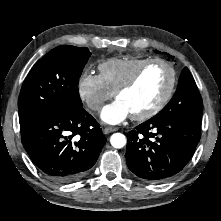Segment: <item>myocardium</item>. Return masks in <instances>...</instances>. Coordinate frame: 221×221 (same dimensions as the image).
I'll return each mask as SVG.
<instances>
[{"label": "myocardium", "instance_id": "myocardium-1", "mask_svg": "<svg viewBox=\"0 0 221 221\" xmlns=\"http://www.w3.org/2000/svg\"><path fill=\"white\" fill-rule=\"evenodd\" d=\"M153 64H160L167 68L169 72V84L163 95L151 108L142 113L131 115L132 119L136 121H145L156 116L169 102L175 91L177 83V75L174 67L169 62L163 59H148L144 63H142L128 79H126L121 85H119L114 92L115 97L118 99L119 95L135 85L142 73Z\"/></svg>", "mask_w": 221, "mask_h": 221}]
</instances>
